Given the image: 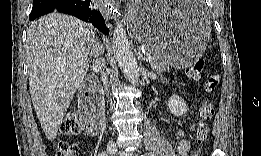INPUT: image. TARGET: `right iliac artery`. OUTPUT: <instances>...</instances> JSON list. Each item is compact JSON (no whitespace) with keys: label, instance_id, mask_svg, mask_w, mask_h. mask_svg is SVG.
<instances>
[{"label":"right iliac artery","instance_id":"right-iliac-artery-1","mask_svg":"<svg viewBox=\"0 0 261 156\" xmlns=\"http://www.w3.org/2000/svg\"><path fill=\"white\" fill-rule=\"evenodd\" d=\"M100 155H101V156H104V155H105V153H101Z\"/></svg>","mask_w":261,"mask_h":156}]
</instances>
